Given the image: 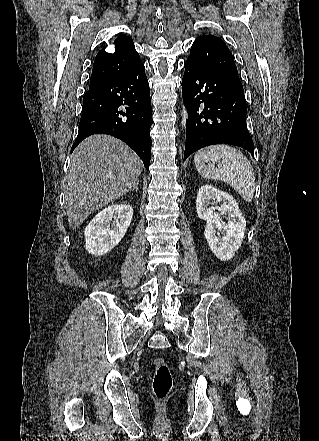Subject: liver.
Masks as SVG:
<instances>
[{"label":"liver","instance_id":"1","mask_svg":"<svg viewBox=\"0 0 319 441\" xmlns=\"http://www.w3.org/2000/svg\"><path fill=\"white\" fill-rule=\"evenodd\" d=\"M141 159L108 135L84 139L71 155L66 175L68 222L77 229L93 212L133 190L143 170Z\"/></svg>","mask_w":319,"mask_h":441}]
</instances>
